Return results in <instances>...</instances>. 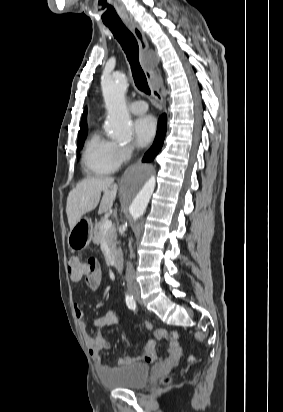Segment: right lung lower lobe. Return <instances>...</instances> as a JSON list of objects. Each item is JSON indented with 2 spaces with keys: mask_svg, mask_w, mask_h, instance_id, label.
<instances>
[{
  "mask_svg": "<svg viewBox=\"0 0 283 412\" xmlns=\"http://www.w3.org/2000/svg\"><path fill=\"white\" fill-rule=\"evenodd\" d=\"M166 128H167V116L166 114H163L158 120V130H157L154 143L151 146V148L145 153L144 158L142 160L143 162L152 161L155 158V156L158 154L164 142Z\"/></svg>",
  "mask_w": 283,
  "mask_h": 412,
  "instance_id": "obj_1",
  "label": "right lung lower lobe"
}]
</instances>
